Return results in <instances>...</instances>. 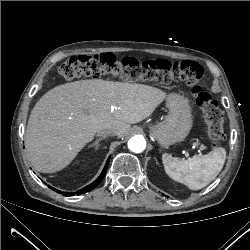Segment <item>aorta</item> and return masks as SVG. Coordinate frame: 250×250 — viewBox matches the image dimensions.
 Returning a JSON list of instances; mask_svg holds the SVG:
<instances>
[{
	"mask_svg": "<svg viewBox=\"0 0 250 250\" xmlns=\"http://www.w3.org/2000/svg\"><path fill=\"white\" fill-rule=\"evenodd\" d=\"M128 148L135 153H140L146 148V141L143 136L135 135L128 141Z\"/></svg>",
	"mask_w": 250,
	"mask_h": 250,
	"instance_id": "1",
	"label": "aorta"
}]
</instances>
